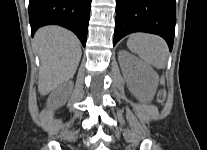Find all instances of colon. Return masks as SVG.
<instances>
[{"mask_svg":"<svg viewBox=\"0 0 207 150\" xmlns=\"http://www.w3.org/2000/svg\"><path fill=\"white\" fill-rule=\"evenodd\" d=\"M164 97H165V93H164L163 91H161V92L159 93V100H160V101H163Z\"/></svg>","mask_w":207,"mask_h":150,"instance_id":"5ec220e1","label":"colon"}]
</instances>
